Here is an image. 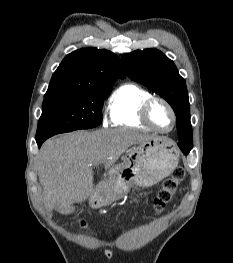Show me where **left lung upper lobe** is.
Returning <instances> with one entry per match:
<instances>
[{
    "label": "left lung upper lobe",
    "instance_id": "1",
    "mask_svg": "<svg viewBox=\"0 0 233 263\" xmlns=\"http://www.w3.org/2000/svg\"><path fill=\"white\" fill-rule=\"evenodd\" d=\"M129 78L162 96L173 108L177 117L179 139L192 146L190 105L185 79L170 59L157 49L136 50L122 57Z\"/></svg>",
    "mask_w": 233,
    "mask_h": 263
}]
</instances>
